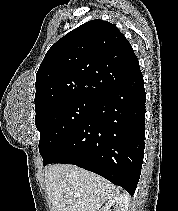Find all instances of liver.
I'll return each mask as SVG.
<instances>
[{
	"label": "liver",
	"instance_id": "1",
	"mask_svg": "<svg viewBox=\"0 0 178 211\" xmlns=\"http://www.w3.org/2000/svg\"><path fill=\"white\" fill-rule=\"evenodd\" d=\"M45 186L51 211H99L119 194L105 178L69 164L47 167Z\"/></svg>",
	"mask_w": 178,
	"mask_h": 211
}]
</instances>
